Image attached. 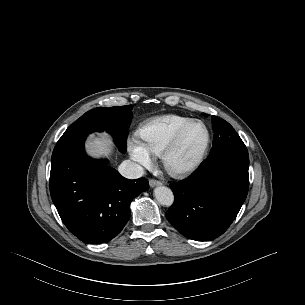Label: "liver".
Instances as JSON below:
<instances>
[{
    "instance_id": "1",
    "label": "liver",
    "mask_w": 305,
    "mask_h": 305,
    "mask_svg": "<svg viewBox=\"0 0 305 305\" xmlns=\"http://www.w3.org/2000/svg\"><path fill=\"white\" fill-rule=\"evenodd\" d=\"M111 139L105 135L92 137L86 144L90 156L100 158L107 156L110 152Z\"/></svg>"
}]
</instances>
